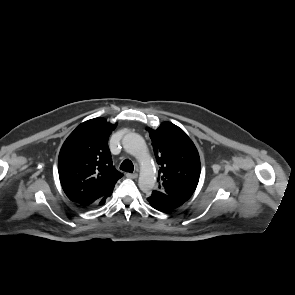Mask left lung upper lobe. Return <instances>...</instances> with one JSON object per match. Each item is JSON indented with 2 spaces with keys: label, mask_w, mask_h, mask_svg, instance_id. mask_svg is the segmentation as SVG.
Masks as SVG:
<instances>
[{
  "label": "left lung upper lobe",
  "mask_w": 295,
  "mask_h": 295,
  "mask_svg": "<svg viewBox=\"0 0 295 295\" xmlns=\"http://www.w3.org/2000/svg\"><path fill=\"white\" fill-rule=\"evenodd\" d=\"M147 130L160 165L157 191L186 202L200 177V158L194 143L171 122H163L156 130Z\"/></svg>",
  "instance_id": "left-lung-upper-lobe-1"
}]
</instances>
